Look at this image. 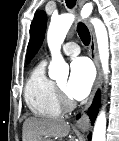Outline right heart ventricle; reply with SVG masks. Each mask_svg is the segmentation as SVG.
<instances>
[{"mask_svg": "<svg viewBox=\"0 0 119 141\" xmlns=\"http://www.w3.org/2000/svg\"><path fill=\"white\" fill-rule=\"evenodd\" d=\"M55 85L45 73V62H40L31 72L24 89L26 104L35 116L58 118L61 115Z\"/></svg>", "mask_w": 119, "mask_h": 141, "instance_id": "right-heart-ventricle-1", "label": "right heart ventricle"}]
</instances>
